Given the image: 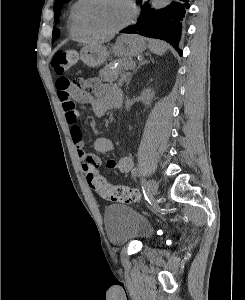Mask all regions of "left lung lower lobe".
<instances>
[{
    "instance_id": "obj_1",
    "label": "left lung lower lobe",
    "mask_w": 245,
    "mask_h": 300,
    "mask_svg": "<svg viewBox=\"0 0 245 300\" xmlns=\"http://www.w3.org/2000/svg\"><path fill=\"white\" fill-rule=\"evenodd\" d=\"M189 0H175L163 9H151L149 2L138 0L142 4L141 14L134 26L126 27L120 33L139 34L150 38H158L170 43L182 55L179 40L182 20Z\"/></svg>"
}]
</instances>
